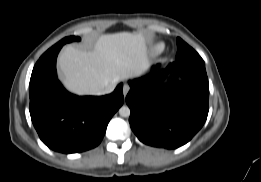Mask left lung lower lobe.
Here are the masks:
<instances>
[{
  "instance_id": "0a47b994",
  "label": "left lung lower lobe",
  "mask_w": 261,
  "mask_h": 182,
  "mask_svg": "<svg viewBox=\"0 0 261 182\" xmlns=\"http://www.w3.org/2000/svg\"><path fill=\"white\" fill-rule=\"evenodd\" d=\"M160 65L153 67L156 71ZM172 72V86L163 78ZM181 82H175L177 75ZM126 103L131 129L147 145L175 149L191 140L206 121L209 84L204 62H174L165 70L130 81Z\"/></svg>"
}]
</instances>
